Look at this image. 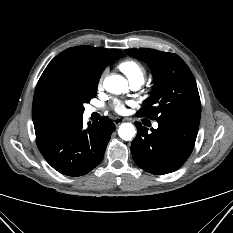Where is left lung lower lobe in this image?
I'll return each mask as SVG.
<instances>
[{
  "label": "left lung lower lobe",
  "instance_id": "left-lung-lower-lobe-1",
  "mask_svg": "<svg viewBox=\"0 0 233 233\" xmlns=\"http://www.w3.org/2000/svg\"><path fill=\"white\" fill-rule=\"evenodd\" d=\"M157 129L136 122L137 136L132 141L131 152L136 164L157 175L179 169L190 156L197 137L198 122L168 120L158 122Z\"/></svg>",
  "mask_w": 233,
  "mask_h": 233
}]
</instances>
